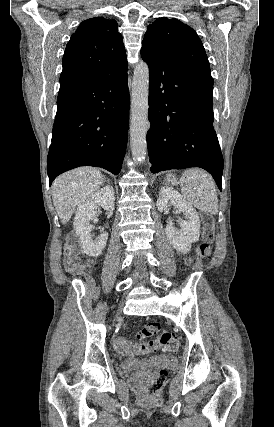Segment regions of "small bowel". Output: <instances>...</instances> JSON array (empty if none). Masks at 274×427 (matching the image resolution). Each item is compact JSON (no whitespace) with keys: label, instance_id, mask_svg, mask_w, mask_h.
Wrapping results in <instances>:
<instances>
[{"label":"small bowel","instance_id":"c3829d8e","mask_svg":"<svg viewBox=\"0 0 274 427\" xmlns=\"http://www.w3.org/2000/svg\"><path fill=\"white\" fill-rule=\"evenodd\" d=\"M87 261H88V263H90V264H93V263H94L93 259H91V258L87 259ZM80 271H81L82 273H85V272H86V267H85V266H80Z\"/></svg>","mask_w":274,"mask_h":427}]
</instances>
